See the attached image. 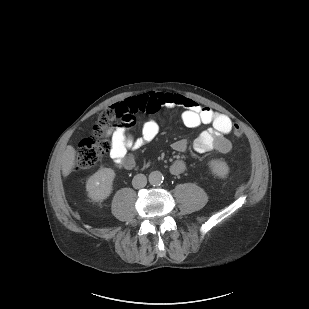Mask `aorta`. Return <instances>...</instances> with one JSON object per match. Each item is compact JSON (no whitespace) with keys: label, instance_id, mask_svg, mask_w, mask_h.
I'll return each instance as SVG.
<instances>
[{"label":"aorta","instance_id":"1","mask_svg":"<svg viewBox=\"0 0 309 309\" xmlns=\"http://www.w3.org/2000/svg\"><path fill=\"white\" fill-rule=\"evenodd\" d=\"M163 182V175L160 171H153L149 174V183L153 186L161 185Z\"/></svg>","mask_w":309,"mask_h":309}]
</instances>
